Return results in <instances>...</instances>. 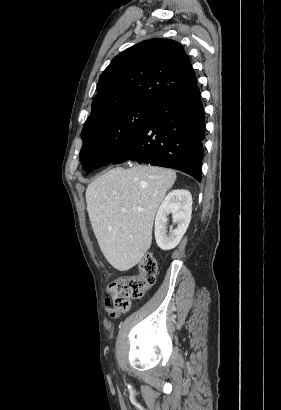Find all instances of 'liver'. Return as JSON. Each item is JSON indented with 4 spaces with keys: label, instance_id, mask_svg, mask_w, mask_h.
I'll list each match as a JSON object with an SVG mask.
<instances>
[{
    "label": "liver",
    "instance_id": "liver-1",
    "mask_svg": "<svg viewBox=\"0 0 281 410\" xmlns=\"http://www.w3.org/2000/svg\"><path fill=\"white\" fill-rule=\"evenodd\" d=\"M175 180L176 172L171 169L134 165L113 168L87 186L85 197L93 232L115 269H131L150 248L156 211Z\"/></svg>",
    "mask_w": 281,
    "mask_h": 410
}]
</instances>
